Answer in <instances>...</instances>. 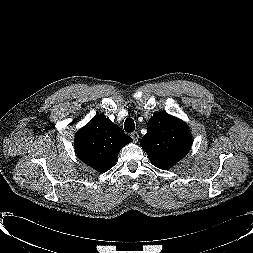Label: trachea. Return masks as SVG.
Wrapping results in <instances>:
<instances>
[{
  "label": "trachea",
  "mask_w": 253,
  "mask_h": 253,
  "mask_svg": "<svg viewBox=\"0 0 253 253\" xmlns=\"http://www.w3.org/2000/svg\"><path fill=\"white\" fill-rule=\"evenodd\" d=\"M124 129L126 132L131 133L135 130V123L132 118H127L124 122Z\"/></svg>",
  "instance_id": "1"
}]
</instances>
